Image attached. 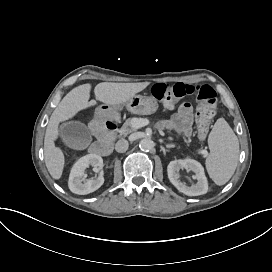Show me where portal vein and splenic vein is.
<instances>
[{
  "instance_id": "portal-vein-and-splenic-vein-1",
  "label": "portal vein and splenic vein",
  "mask_w": 272,
  "mask_h": 272,
  "mask_svg": "<svg viewBox=\"0 0 272 272\" xmlns=\"http://www.w3.org/2000/svg\"><path fill=\"white\" fill-rule=\"evenodd\" d=\"M148 124H149V120L148 119H144V118H133L132 119V126L135 129L144 127V126H146Z\"/></svg>"
}]
</instances>
